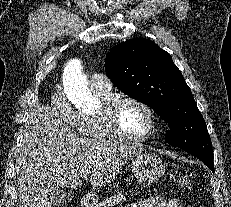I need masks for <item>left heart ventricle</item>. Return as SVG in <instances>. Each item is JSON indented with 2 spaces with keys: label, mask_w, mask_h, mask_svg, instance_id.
<instances>
[{
  "label": "left heart ventricle",
  "mask_w": 231,
  "mask_h": 207,
  "mask_svg": "<svg viewBox=\"0 0 231 207\" xmlns=\"http://www.w3.org/2000/svg\"><path fill=\"white\" fill-rule=\"evenodd\" d=\"M118 119L123 130L130 136L138 137L148 132V115L135 103L124 104L119 110Z\"/></svg>",
  "instance_id": "obj_1"
}]
</instances>
